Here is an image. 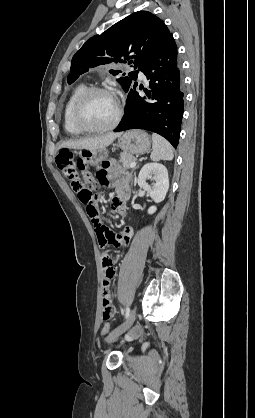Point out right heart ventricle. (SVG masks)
Returning a JSON list of instances; mask_svg holds the SVG:
<instances>
[{
	"label": "right heart ventricle",
	"instance_id": "obj_1",
	"mask_svg": "<svg viewBox=\"0 0 255 418\" xmlns=\"http://www.w3.org/2000/svg\"><path fill=\"white\" fill-rule=\"evenodd\" d=\"M86 88H87L86 83L78 84L73 89V91L71 92L69 98L67 99L65 103L64 110H63V127L66 133H68L69 135L75 136V135H80L83 133L81 130H79L78 128L74 126L72 119H71V114H72V109H73L76 99Z\"/></svg>",
	"mask_w": 255,
	"mask_h": 418
}]
</instances>
